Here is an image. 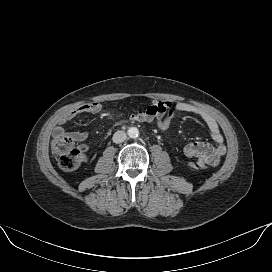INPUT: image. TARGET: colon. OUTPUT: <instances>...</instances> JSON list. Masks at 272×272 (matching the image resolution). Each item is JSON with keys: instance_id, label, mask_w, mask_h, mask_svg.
<instances>
[{"instance_id": "colon-1", "label": "colon", "mask_w": 272, "mask_h": 272, "mask_svg": "<svg viewBox=\"0 0 272 272\" xmlns=\"http://www.w3.org/2000/svg\"><path fill=\"white\" fill-rule=\"evenodd\" d=\"M172 118L173 110L169 108L164 113L152 114L150 120L157 128L166 130L170 127ZM51 152L58 165L66 171L75 170L86 161V156L82 149L68 135L55 136L52 140ZM187 164L190 168L196 170L206 168V164L199 160L189 161Z\"/></svg>"}]
</instances>
